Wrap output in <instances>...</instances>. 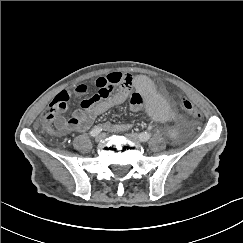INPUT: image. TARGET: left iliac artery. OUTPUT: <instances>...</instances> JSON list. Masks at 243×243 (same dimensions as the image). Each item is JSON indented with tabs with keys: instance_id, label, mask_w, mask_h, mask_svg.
Listing matches in <instances>:
<instances>
[{
	"instance_id": "left-iliac-artery-1",
	"label": "left iliac artery",
	"mask_w": 243,
	"mask_h": 243,
	"mask_svg": "<svg viewBox=\"0 0 243 243\" xmlns=\"http://www.w3.org/2000/svg\"><path fill=\"white\" fill-rule=\"evenodd\" d=\"M151 137V133L150 132H142L139 134V138L141 141L145 142L148 141Z\"/></svg>"
}]
</instances>
